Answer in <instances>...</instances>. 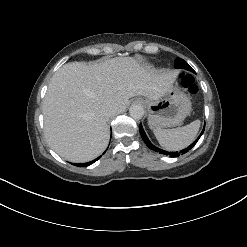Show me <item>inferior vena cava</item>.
<instances>
[{
    "label": "inferior vena cava",
    "instance_id": "inferior-vena-cava-1",
    "mask_svg": "<svg viewBox=\"0 0 247 247\" xmlns=\"http://www.w3.org/2000/svg\"><path fill=\"white\" fill-rule=\"evenodd\" d=\"M115 114V110L112 109V108H106L103 110V115L106 117V118H109L111 117L112 115Z\"/></svg>",
    "mask_w": 247,
    "mask_h": 247
}]
</instances>
